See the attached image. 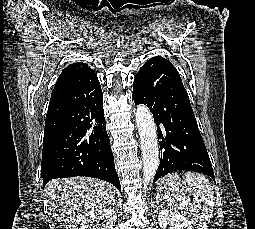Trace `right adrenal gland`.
<instances>
[{"label":"right adrenal gland","mask_w":255,"mask_h":229,"mask_svg":"<svg viewBox=\"0 0 255 229\" xmlns=\"http://www.w3.org/2000/svg\"><path fill=\"white\" fill-rule=\"evenodd\" d=\"M114 205H117V206H119V204H118V200H117V198H115V197H113V200H112V203H111V207L112 206H114Z\"/></svg>","instance_id":"right-adrenal-gland-1"}]
</instances>
